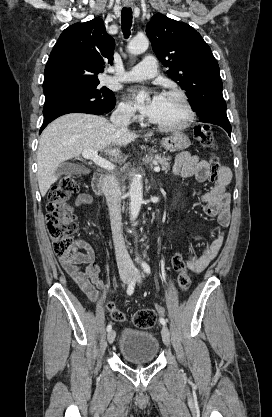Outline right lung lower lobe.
<instances>
[{"instance_id": "1", "label": "right lung lower lobe", "mask_w": 272, "mask_h": 417, "mask_svg": "<svg viewBox=\"0 0 272 417\" xmlns=\"http://www.w3.org/2000/svg\"><path fill=\"white\" fill-rule=\"evenodd\" d=\"M116 103V102H115ZM115 103L107 108H97L95 106L92 105H70V106H66L64 108H61L59 110H56L55 112H53L51 115H49L48 117H45V120L43 122V125L41 126L40 132H42V130L54 119H56L59 116H62L64 114H68V113H87V114H97V115H102L104 113H108L110 112L114 106Z\"/></svg>"}]
</instances>
